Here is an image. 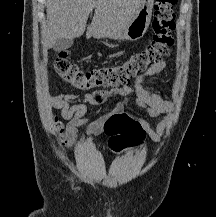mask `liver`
Instances as JSON below:
<instances>
[{
  "instance_id": "liver-1",
  "label": "liver",
  "mask_w": 216,
  "mask_h": 217,
  "mask_svg": "<svg viewBox=\"0 0 216 217\" xmlns=\"http://www.w3.org/2000/svg\"><path fill=\"white\" fill-rule=\"evenodd\" d=\"M142 0H47L46 26L42 33L46 49L59 38L80 37L86 30L89 14L95 13L88 27L94 38H113L135 14Z\"/></svg>"
}]
</instances>
